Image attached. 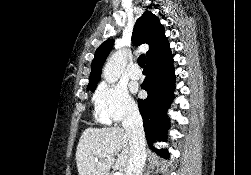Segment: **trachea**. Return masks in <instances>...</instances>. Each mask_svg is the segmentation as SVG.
<instances>
[{
    "label": "trachea",
    "mask_w": 251,
    "mask_h": 175,
    "mask_svg": "<svg viewBox=\"0 0 251 175\" xmlns=\"http://www.w3.org/2000/svg\"><path fill=\"white\" fill-rule=\"evenodd\" d=\"M145 55H140L138 58V64L140 65L141 68L145 66Z\"/></svg>",
    "instance_id": "3493384b"
}]
</instances>
